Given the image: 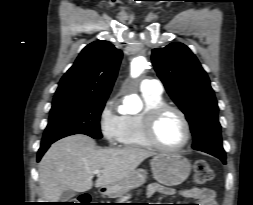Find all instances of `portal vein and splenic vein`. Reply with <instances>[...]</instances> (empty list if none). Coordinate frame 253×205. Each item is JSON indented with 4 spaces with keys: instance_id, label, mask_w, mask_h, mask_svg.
Segmentation results:
<instances>
[{
    "instance_id": "18ae733b",
    "label": "portal vein and splenic vein",
    "mask_w": 253,
    "mask_h": 205,
    "mask_svg": "<svg viewBox=\"0 0 253 205\" xmlns=\"http://www.w3.org/2000/svg\"><path fill=\"white\" fill-rule=\"evenodd\" d=\"M102 171L101 170H95L93 171V174H100Z\"/></svg>"
}]
</instances>
